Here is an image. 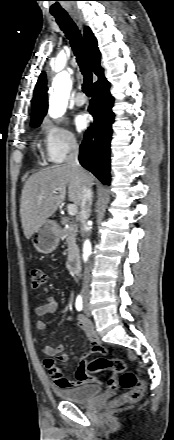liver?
<instances>
[{
	"label": "liver",
	"mask_w": 174,
	"mask_h": 440,
	"mask_svg": "<svg viewBox=\"0 0 174 440\" xmlns=\"http://www.w3.org/2000/svg\"><path fill=\"white\" fill-rule=\"evenodd\" d=\"M85 174L86 183L91 187L93 176L87 171ZM67 193L69 201L80 206L81 174L67 164L43 169L28 178L22 190L20 204L21 223L27 239H30L44 221L55 214ZM40 196L44 198L40 200Z\"/></svg>",
	"instance_id": "liver-1"
}]
</instances>
